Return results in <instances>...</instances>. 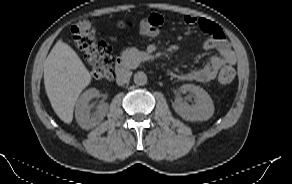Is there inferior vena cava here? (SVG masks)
<instances>
[{
	"label": "inferior vena cava",
	"instance_id": "obj_1",
	"mask_svg": "<svg viewBox=\"0 0 292 184\" xmlns=\"http://www.w3.org/2000/svg\"><path fill=\"white\" fill-rule=\"evenodd\" d=\"M132 72L129 70H119L117 72L116 82L118 85H124L129 82Z\"/></svg>",
	"mask_w": 292,
	"mask_h": 184
}]
</instances>
